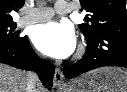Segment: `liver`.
<instances>
[{
    "label": "liver",
    "mask_w": 127,
    "mask_h": 92,
    "mask_svg": "<svg viewBox=\"0 0 127 92\" xmlns=\"http://www.w3.org/2000/svg\"><path fill=\"white\" fill-rule=\"evenodd\" d=\"M28 72L0 63V92H26ZM36 92H47L38 82Z\"/></svg>",
    "instance_id": "1"
}]
</instances>
